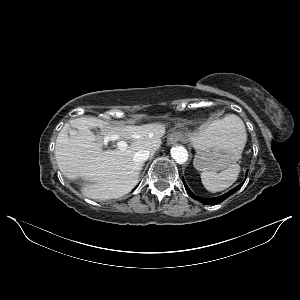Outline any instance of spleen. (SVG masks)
<instances>
[{
  "label": "spleen",
  "mask_w": 300,
  "mask_h": 300,
  "mask_svg": "<svg viewBox=\"0 0 300 300\" xmlns=\"http://www.w3.org/2000/svg\"><path fill=\"white\" fill-rule=\"evenodd\" d=\"M222 121H232L234 123L238 134L242 135V143L243 146H245L247 134L245 125L241 118L236 115L229 114L222 119ZM239 173L240 166L238 164H234L220 173L204 171L201 173V180L208 191L215 193L230 187L237 180Z\"/></svg>",
  "instance_id": "spleen-1"
}]
</instances>
